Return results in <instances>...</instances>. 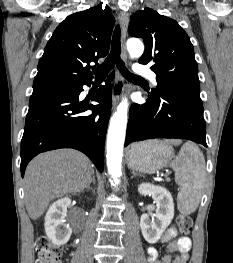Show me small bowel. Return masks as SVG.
Instances as JSON below:
<instances>
[{
	"mask_svg": "<svg viewBox=\"0 0 233 263\" xmlns=\"http://www.w3.org/2000/svg\"><path fill=\"white\" fill-rule=\"evenodd\" d=\"M159 242L167 243L168 255L159 259L158 250L150 246L146 249L147 263H187L192 248V241L188 236L178 237L177 229L170 227L164 232Z\"/></svg>",
	"mask_w": 233,
	"mask_h": 263,
	"instance_id": "c3829d8e",
	"label": "small bowel"
}]
</instances>
